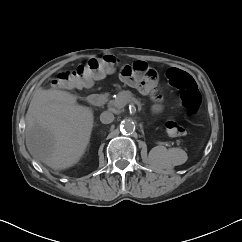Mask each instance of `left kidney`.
I'll use <instances>...</instances> for the list:
<instances>
[{
    "mask_svg": "<svg viewBox=\"0 0 242 242\" xmlns=\"http://www.w3.org/2000/svg\"><path fill=\"white\" fill-rule=\"evenodd\" d=\"M166 151L167 149L164 146H156L150 151V155L156 163H159L162 154ZM176 154L177 157L180 156V159L175 160V162L172 165H180L187 160V154L185 153V151L176 149Z\"/></svg>",
    "mask_w": 242,
    "mask_h": 242,
    "instance_id": "1",
    "label": "left kidney"
}]
</instances>
